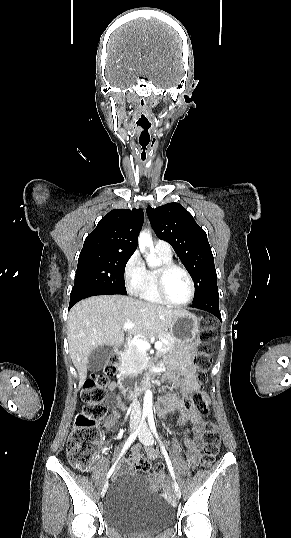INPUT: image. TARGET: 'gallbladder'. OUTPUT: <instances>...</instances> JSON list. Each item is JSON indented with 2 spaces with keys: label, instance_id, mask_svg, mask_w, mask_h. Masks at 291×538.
Returning <instances> with one entry per match:
<instances>
[{
  "label": "gallbladder",
  "instance_id": "bac80fb5",
  "mask_svg": "<svg viewBox=\"0 0 291 538\" xmlns=\"http://www.w3.org/2000/svg\"><path fill=\"white\" fill-rule=\"evenodd\" d=\"M113 350V347L108 345L99 346L94 349L88 358V370L91 372L101 370L113 354Z\"/></svg>",
  "mask_w": 291,
  "mask_h": 538
}]
</instances>
